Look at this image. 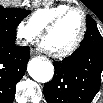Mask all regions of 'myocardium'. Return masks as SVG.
<instances>
[{"instance_id":"obj_1","label":"myocardium","mask_w":103,"mask_h":103,"mask_svg":"<svg viewBox=\"0 0 103 103\" xmlns=\"http://www.w3.org/2000/svg\"><path fill=\"white\" fill-rule=\"evenodd\" d=\"M72 12H78L82 17L81 32H80L79 36L77 37V39L74 41V43L62 51H52V50L47 49L46 47H43L46 50V52L54 58H65V57L73 54L79 48V46L81 45L82 41L84 40L86 32H87V15H86L85 11L81 8L70 7L68 9L64 10L63 12L59 13L57 16H55L41 31L40 41H41V44H43V40L45 39V37L52 30H54L57 27V25L67 15H69Z\"/></svg>"}]
</instances>
